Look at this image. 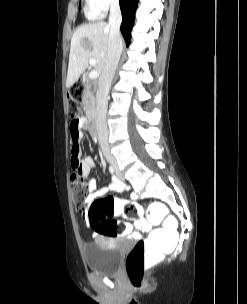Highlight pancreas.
Wrapping results in <instances>:
<instances>
[{"mask_svg": "<svg viewBox=\"0 0 247 304\" xmlns=\"http://www.w3.org/2000/svg\"><path fill=\"white\" fill-rule=\"evenodd\" d=\"M88 86V85H86ZM82 103L84 106V111L87 116L93 114L95 110V97L94 94L90 91L89 86L88 89H85L82 95Z\"/></svg>", "mask_w": 247, "mask_h": 304, "instance_id": "cf45deb5", "label": "pancreas"}]
</instances>
